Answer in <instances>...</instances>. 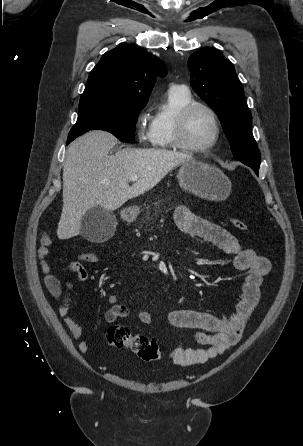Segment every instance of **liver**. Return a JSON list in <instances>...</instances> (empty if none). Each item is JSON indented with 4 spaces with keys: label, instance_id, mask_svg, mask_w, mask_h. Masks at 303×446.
<instances>
[{
    "label": "liver",
    "instance_id": "1",
    "mask_svg": "<svg viewBox=\"0 0 303 446\" xmlns=\"http://www.w3.org/2000/svg\"><path fill=\"white\" fill-rule=\"evenodd\" d=\"M110 133L95 130L73 141L63 167V208L59 239L79 235L84 214L97 206L107 211L121 207L156 186L172 169L192 156L164 149L125 148L115 155ZM138 180L129 186L130 177Z\"/></svg>",
    "mask_w": 303,
    "mask_h": 446
}]
</instances>
